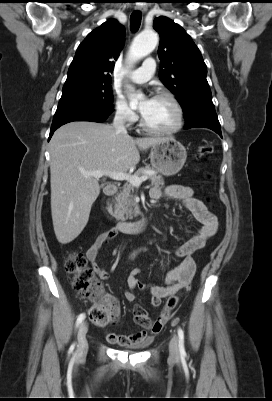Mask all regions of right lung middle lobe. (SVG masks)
<instances>
[{"mask_svg":"<svg viewBox=\"0 0 272 401\" xmlns=\"http://www.w3.org/2000/svg\"><path fill=\"white\" fill-rule=\"evenodd\" d=\"M111 81L63 90L53 122L80 113L108 116L113 112Z\"/></svg>","mask_w":272,"mask_h":401,"instance_id":"dd1d6c3e","label":"right lung middle lobe"}]
</instances>
